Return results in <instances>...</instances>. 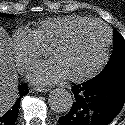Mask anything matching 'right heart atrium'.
<instances>
[{"instance_id": "obj_1", "label": "right heart atrium", "mask_w": 125, "mask_h": 125, "mask_svg": "<svg viewBox=\"0 0 125 125\" xmlns=\"http://www.w3.org/2000/svg\"><path fill=\"white\" fill-rule=\"evenodd\" d=\"M10 48L20 69H27L44 53V48L34 32L24 27L13 32L10 39Z\"/></svg>"}]
</instances>
